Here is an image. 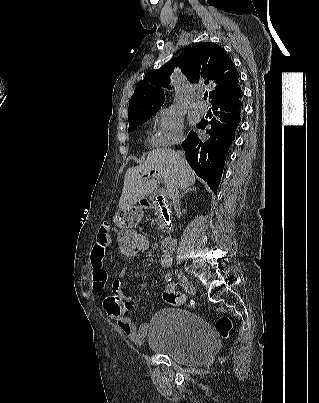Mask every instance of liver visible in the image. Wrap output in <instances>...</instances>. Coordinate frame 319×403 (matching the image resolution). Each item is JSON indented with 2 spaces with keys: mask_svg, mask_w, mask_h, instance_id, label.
<instances>
[{
  "mask_svg": "<svg viewBox=\"0 0 319 403\" xmlns=\"http://www.w3.org/2000/svg\"><path fill=\"white\" fill-rule=\"evenodd\" d=\"M152 171L157 172L152 179L143 177ZM157 177H162L169 197L174 185L187 189L195 183L194 171L177 152L172 149H153L142 164L126 171L119 209L130 208L152 194L157 186Z\"/></svg>",
  "mask_w": 319,
  "mask_h": 403,
  "instance_id": "1",
  "label": "liver"
}]
</instances>
